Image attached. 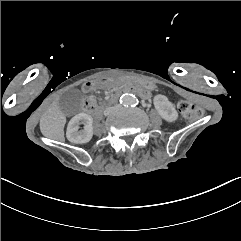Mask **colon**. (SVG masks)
<instances>
[{
	"mask_svg": "<svg viewBox=\"0 0 241 241\" xmlns=\"http://www.w3.org/2000/svg\"><path fill=\"white\" fill-rule=\"evenodd\" d=\"M178 109L181 114L187 119L201 118L203 116V109L201 107H196L190 102H180Z\"/></svg>",
	"mask_w": 241,
	"mask_h": 241,
	"instance_id": "1",
	"label": "colon"
}]
</instances>
